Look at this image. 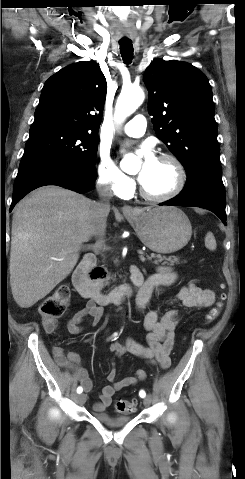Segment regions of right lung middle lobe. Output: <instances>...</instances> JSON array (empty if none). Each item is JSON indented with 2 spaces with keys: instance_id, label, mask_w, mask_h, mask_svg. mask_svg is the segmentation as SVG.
Segmentation results:
<instances>
[{
  "instance_id": "right-lung-middle-lobe-1",
  "label": "right lung middle lobe",
  "mask_w": 245,
  "mask_h": 479,
  "mask_svg": "<svg viewBox=\"0 0 245 479\" xmlns=\"http://www.w3.org/2000/svg\"><path fill=\"white\" fill-rule=\"evenodd\" d=\"M97 149L96 132L61 125L31 127L20 167L61 161L95 171Z\"/></svg>"
}]
</instances>
